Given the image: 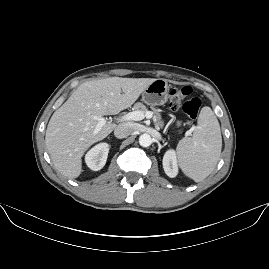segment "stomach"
Masks as SVG:
<instances>
[{
	"label": "stomach",
	"instance_id": "0dacf381",
	"mask_svg": "<svg viewBox=\"0 0 269 269\" xmlns=\"http://www.w3.org/2000/svg\"><path fill=\"white\" fill-rule=\"evenodd\" d=\"M168 83L165 79H156L142 93V100L150 106L163 105L168 100Z\"/></svg>",
	"mask_w": 269,
	"mask_h": 269
}]
</instances>
